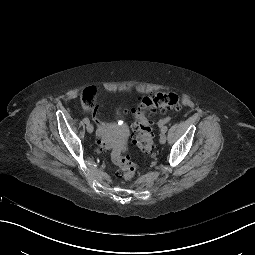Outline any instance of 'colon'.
I'll list each match as a JSON object with an SVG mask.
<instances>
[{"label": "colon", "instance_id": "5ec220e1", "mask_svg": "<svg viewBox=\"0 0 255 255\" xmlns=\"http://www.w3.org/2000/svg\"><path fill=\"white\" fill-rule=\"evenodd\" d=\"M94 88H87L82 93V101L87 106L94 104ZM180 109L179 97L174 93H157L143 98L134 111L135 122L132 125L134 132V144L144 152H150L154 145V135L148 113L151 111L175 112ZM106 146H111L112 141H103ZM112 159L117 166V175L125 181L134 178L137 164L128 156L123 155L120 150L114 149Z\"/></svg>", "mask_w": 255, "mask_h": 255}]
</instances>
